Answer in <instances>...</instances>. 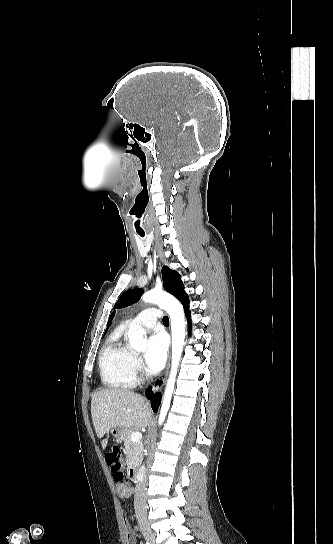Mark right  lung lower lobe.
Wrapping results in <instances>:
<instances>
[{
    "mask_svg": "<svg viewBox=\"0 0 333 544\" xmlns=\"http://www.w3.org/2000/svg\"><path fill=\"white\" fill-rule=\"evenodd\" d=\"M146 396H147L148 399L151 400V406H152V409L154 410V412H157L158 406H159L160 401H161V394L160 393L153 394L152 393V388L150 387L146 391Z\"/></svg>",
    "mask_w": 333,
    "mask_h": 544,
    "instance_id": "1",
    "label": "right lung lower lobe"
}]
</instances>
